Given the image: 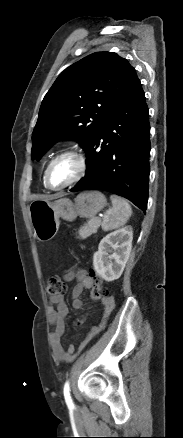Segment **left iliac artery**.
Segmentation results:
<instances>
[{
  "mask_svg": "<svg viewBox=\"0 0 183 438\" xmlns=\"http://www.w3.org/2000/svg\"><path fill=\"white\" fill-rule=\"evenodd\" d=\"M63 393H64L66 404L68 406H73V401H72L71 396H70V386H69L68 381L64 385Z\"/></svg>",
  "mask_w": 183,
  "mask_h": 438,
  "instance_id": "left-iliac-artery-1",
  "label": "left iliac artery"
}]
</instances>
